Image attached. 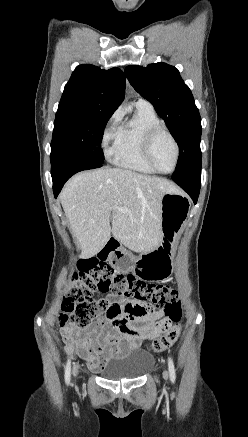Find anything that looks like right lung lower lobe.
I'll return each instance as SVG.
<instances>
[{"label": "right lung lower lobe", "mask_w": 248, "mask_h": 437, "mask_svg": "<svg viewBox=\"0 0 248 437\" xmlns=\"http://www.w3.org/2000/svg\"><path fill=\"white\" fill-rule=\"evenodd\" d=\"M101 166L102 165L90 163L81 159H67L52 164L51 175L53 180V191L55 197H57L64 183L72 175L82 170L99 168Z\"/></svg>", "instance_id": "98d812e1"}]
</instances>
